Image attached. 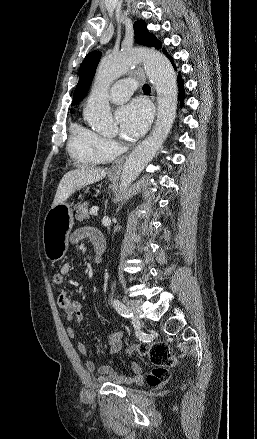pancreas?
I'll return each mask as SVG.
<instances>
[{
  "label": "pancreas",
  "mask_w": 257,
  "mask_h": 439,
  "mask_svg": "<svg viewBox=\"0 0 257 439\" xmlns=\"http://www.w3.org/2000/svg\"><path fill=\"white\" fill-rule=\"evenodd\" d=\"M87 208H88V203L87 202L78 204V206L76 207V215H75V218L78 221H83V220L89 218V214H88Z\"/></svg>",
  "instance_id": "obj_1"
}]
</instances>
